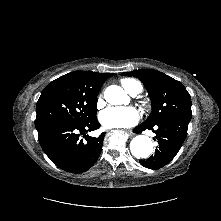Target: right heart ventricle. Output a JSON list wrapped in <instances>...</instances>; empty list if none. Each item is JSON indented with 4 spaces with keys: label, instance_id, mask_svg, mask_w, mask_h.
<instances>
[{
    "label": "right heart ventricle",
    "instance_id": "1",
    "mask_svg": "<svg viewBox=\"0 0 221 221\" xmlns=\"http://www.w3.org/2000/svg\"><path fill=\"white\" fill-rule=\"evenodd\" d=\"M122 86L126 89V91H128L129 93L133 90V89H137L138 93L141 91L142 89V85L140 84V82H138L137 80L134 79H123L121 81Z\"/></svg>",
    "mask_w": 221,
    "mask_h": 221
}]
</instances>
